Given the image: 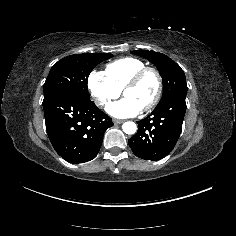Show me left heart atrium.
Segmentation results:
<instances>
[{
  "instance_id": "obj_1",
  "label": "left heart atrium",
  "mask_w": 236,
  "mask_h": 236,
  "mask_svg": "<svg viewBox=\"0 0 236 236\" xmlns=\"http://www.w3.org/2000/svg\"><path fill=\"white\" fill-rule=\"evenodd\" d=\"M108 112L116 118H128L137 116L142 108L129 98H123L108 107Z\"/></svg>"
}]
</instances>
